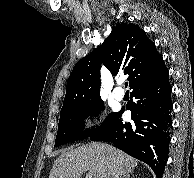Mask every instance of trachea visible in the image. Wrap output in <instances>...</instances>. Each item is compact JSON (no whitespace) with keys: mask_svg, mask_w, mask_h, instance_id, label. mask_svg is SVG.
Wrapping results in <instances>:
<instances>
[{"mask_svg":"<svg viewBox=\"0 0 194 178\" xmlns=\"http://www.w3.org/2000/svg\"><path fill=\"white\" fill-rule=\"evenodd\" d=\"M127 86H128V83L126 82V83H125V87H127Z\"/></svg>","mask_w":194,"mask_h":178,"instance_id":"1","label":"trachea"}]
</instances>
